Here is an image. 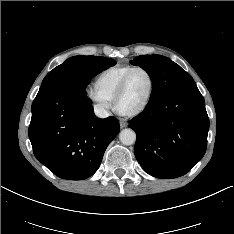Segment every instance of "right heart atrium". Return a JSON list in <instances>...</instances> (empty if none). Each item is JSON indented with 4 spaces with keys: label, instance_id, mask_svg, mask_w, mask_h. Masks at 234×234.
I'll return each instance as SVG.
<instances>
[{
    "label": "right heart atrium",
    "instance_id": "d8ad5b80",
    "mask_svg": "<svg viewBox=\"0 0 234 234\" xmlns=\"http://www.w3.org/2000/svg\"><path fill=\"white\" fill-rule=\"evenodd\" d=\"M86 96L91 100L101 112H108L112 101L109 99L97 85H91L86 89Z\"/></svg>",
    "mask_w": 234,
    "mask_h": 234
}]
</instances>
